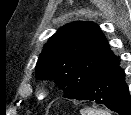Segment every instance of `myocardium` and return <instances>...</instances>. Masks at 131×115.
Returning <instances> with one entry per match:
<instances>
[{
    "label": "myocardium",
    "mask_w": 131,
    "mask_h": 115,
    "mask_svg": "<svg viewBox=\"0 0 131 115\" xmlns=\"http://www.w3.org/2000/svg\"><path fill=\"white\" fill-rule=\"evenodd\" d=\"M40 93H41V94H44V93H45V89L42 88V89L40 90Z\"/></svg>",
    "instance_id": "myocardium-1"
}]
</instances>
